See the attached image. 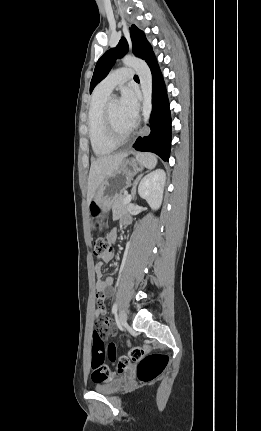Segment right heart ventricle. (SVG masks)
<instances>
[{
	"label": "right heart ventricle",
	"mask_w": 261,
	"mask_h": 431,
	"mask_svg": "<svg viewBox=\"0 0 261 431\" xmlns=\"http://www.w3.org/2000/svg\"><path fill=\"white\" fill-rule=\"evenodd\" d=\"M109 94L95 90L88 111V134L92 151L97 156L112 153L116 146L108 142L103 125V110L107 105Z\"/></svg>",
	"instance_id": "1"
}]
</instances>
